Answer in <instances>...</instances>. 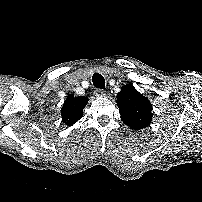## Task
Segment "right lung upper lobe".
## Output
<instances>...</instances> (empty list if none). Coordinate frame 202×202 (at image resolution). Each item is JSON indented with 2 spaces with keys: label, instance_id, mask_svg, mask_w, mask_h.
Wrapping results in <instances>:
<instances>
[{
  "label": "right lung upper lobe",
  "instance_id": "1",
  "mask_svg": "<svg viewBox=\"0 0 202 202\" xmlns=\"http://www.w3.org/2000/svg\"><path fill=\"white\" fill-rule=\"evenodd\" d=\"M88 101L87 97H74L72 94L67 96L61 109L62 121L67 126H72L83 116V109Z\"/></svg>",
  "mask_w": 202,
  "mask_h": 202
}]
</instances>
